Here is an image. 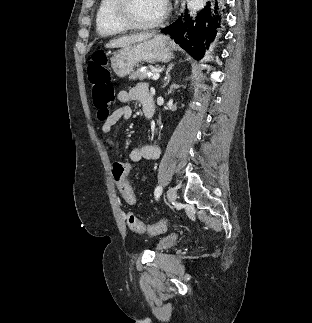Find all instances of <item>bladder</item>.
I'll list each match as a JSON object with an SVG mask.
<instances>
[{
  "label": "bladder",
  "mask_w": 312,
  "mask_h": 323,
  "mask_svg": "<svg viewBox=\"0 0 312 323\" xmlns=\"http://www.w3.org/2000/svg\"><path fill=\"white\" fill-rule=\"evenodd\" d=\"M175 242V238L172 236H167L164 238H159L157 241V249L158 250H165L168 247L172 246Z\"/></svg>",
  "instance_id": "1"
}]
</instances>
